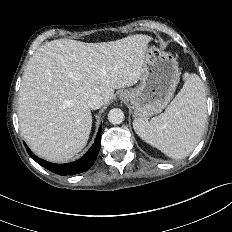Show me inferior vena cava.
Listing matches in <instances>:
<instances>
[{
    "mask_svg": "<svg viewBox=\"0 0 232 232\" xmlns=\"http://www.w3.org/2000/svg\"><path fill=\"white\" fill-rule=\"evenodd\" d=\"M88 106L91 109H99L103 105V98L100 95L94 94L88 99Z\"/></svg>",
    "mask_w": 232,
    "mask_h": 232,
    "instance_id": "inferior-vena-cava-1",
    "label": "inferior vena cava"
}]
</instances>
